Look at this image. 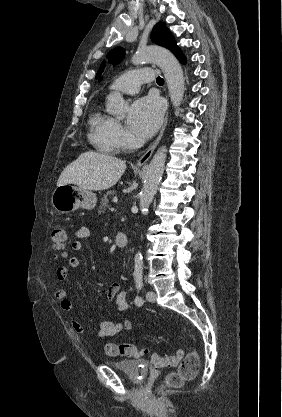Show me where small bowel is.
I'll use <instances>...</instances> for the list:
<instances>
[{
	"mask_svg": "<svg viewBox=\"0 0 282 417\" xmlns=\"http://www.w3.org/2000/svg\"><path fill=\"white\" fill-rule=\"evenodd\" d=\"M90 229L86 226L79 228L76 231V241L73 242L72 248L75 252H81L83 250V242L90 237ZM80 265V260L78 257H71L66 265L59 266L56 269V277L60 281L67 279L70 269H76ZM108 299L114 301L116 307L119 311H126L128 309L127 301V292L118 282L112 283L108 289ZM54 296L61 302L62 309L72 314L74 312V307L72 303L68 300V292L64 288H59L54 292ZM71 326L73 330L79 334L83 335L85 332V327L83 323L77 319H71ZM123 329L130 330L131 323L125 319L119 320H100L98 322L97 337L99 338H108L113 337L120 333Z\"/></svg>",
	"mask_w": 282,
	"mask_h": 417,
	"instance_id": "c3829d8e",
	"label": "small bowel"
}]
</instances>
